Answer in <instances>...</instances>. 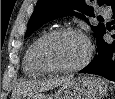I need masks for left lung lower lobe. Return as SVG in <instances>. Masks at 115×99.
Wrapping results in <instances>:
<instances>
[{
	"label": "left lung lower lobe",
	"mask_w": 115,
	"mask_h": 99,
	"mask_svg": "<svg viewBox=\"0 0 115 99\" xmlns=\"http://www.w3.org/2000/svg\"><path fill=\"white\" fill-rule=\"evenodd\" d=\"M113 18H115V6L112 8ZM115 23V19L113 20ZM115 29V25L113 26ZM104 31L100 34L97 42V53L90 64L84 69L80 70L79 73H89L100 75L109 80L115 81V40L111 43L105 42L103 39ZM115 39V34L112 35Z\"/></svg>",
	"instance_id": "1"
}]
</instances>
